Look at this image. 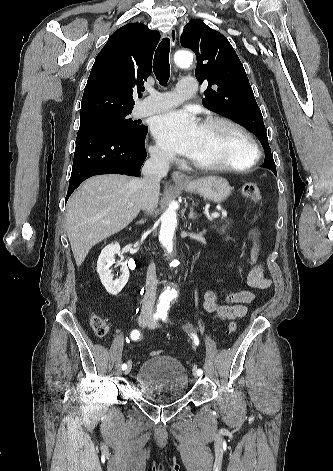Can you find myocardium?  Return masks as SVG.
<instances>
[{
  "label": "myocardium",
  "instance_id": "myocardium-1",
  "mask_svg": "<svg viewBox=\"0 0 333 471\" xmlns=\"http://www.w3.org/2000/svg\"><path fill=\"white\" fill-rule=\"evenodd\" d=\"M225 124L235 131H237L247 142L250 156L246 162L242 164H206L196 161L194 159H190L191 164L203 171H227V172H243L251 169L259 160V148L251 133L241 124L236 122L235 120L225 117V116H211L204 119L200 126H208L212 124Z\"/></svg>",
  "mask_w": 333,
  "mask_h": 471
}]
</instances>
